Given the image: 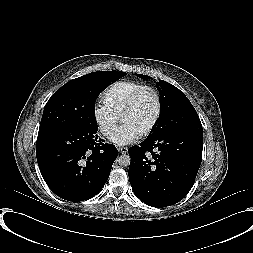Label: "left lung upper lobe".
<instances>
[{
  "label": "left lung upper lobe",
  "mask_w": 253,
  "mask_h": 253,
  "mask_svg": "<svg viewBox=\"0 0 253 253\" xmlns=\"http://www.w3.org/2000/svg\"><path fill=\"white\" fill-rule=\"evenodd\" d=\"M144 80L151 77L138 74ZM160 92L161 114L156 128L147 138L176 131H193L202 133V125L196 110L188 98L174 85L159 80L156 83Z\"/></svg>",
  "instance_id": "obj_1"
}]
</instances>
